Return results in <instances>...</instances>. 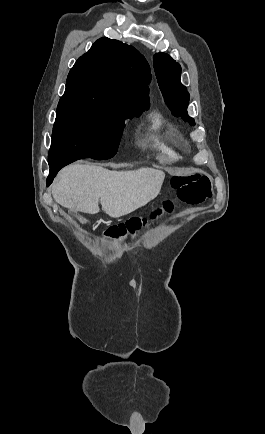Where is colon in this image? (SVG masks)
I'll list each match as a JSON object with an SVG mask.
<instances>
[{
  "instance_id": "5ec220e1",
  "label": "colon",
  "mask_w": 265,
  "mask_h": 434,
  "mask_svg": "<svg viewBox=\"0 0 265 434\" xmlns=\"http://www.w3.org/2000/svg\"><path fill=\"white\" fill-rule=\"evenodd\" d=\"M187 178V180H186ZM176 193H183V202H209L210 189L207 172H192L191 176L180 173L172 182ZM175 210V204L171 200H164L146 216L133 218L108 228L104 239L106 241L120 242L125 237L137 238L150 221L157 219L161 214H171Z\"/></svg>"
}]
</instances>
